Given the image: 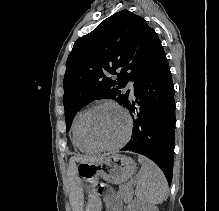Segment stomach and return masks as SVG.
Instances as JSON below:
<instances>
[{
  "instance_id": "1",
  "label": "stomach",
  "mask_w": 219,
  "mask_h": 211,
  "mask_svg": "<svg viewBox=\"0 0 219 211\" xmlns=\"http://www.w3.org/2000/svg\"><path fill=\"white\" fill-rule=\"evenodd\" d=\"M136 163L126 155L111 154L96 162H80L77 174L87 189L92 190L99 178L112 184L125 182L135 172ZM98 199L91 198L85 211H95Z\"/></svg>"
}]
</instances>
